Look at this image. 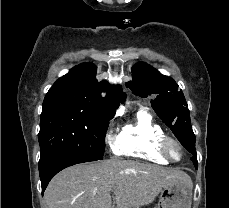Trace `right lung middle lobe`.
Segmentation results:
<instances>
[{"instance_id": "1", "label": "right lung middle lobe", "mask_w": 229, "mask_h": 208, "mask_svg": "<svg viewBox=\"0 0 229 208\" xmlns=\"http://www.w3.org/2000/svg\"><path fill=\"white\" fill-rule=\"evenodd\" d=\"M108 125L109 120L90 115L73 105H43L38 134L39 165L67 151L102 159Z\"/></svg>"}]
</instances>
